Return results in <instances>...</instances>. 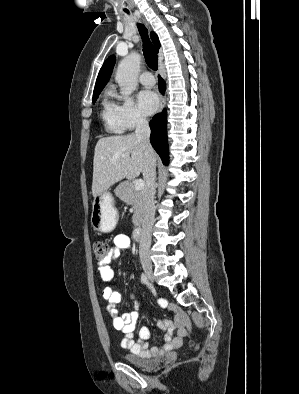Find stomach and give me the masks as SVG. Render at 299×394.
Listing matches in <instances>:
<instances>
[{
	"label": "stomach",
	"mask_w": 299,
	"mask_h": 394,
	"mask_svg": "<svg viewBox=\"0 0 299 394\" xmlns=\"http://www.w3.org/2000/svg\"><path fill=\"white\" fill-rule=\"evenodd\" d=\"M118 222V212L114 207L112 195L104 191L94 198L91 224L96 231L111 232Z\"/></svg>",
	"instance_id": "obj_1"
}]
</instances>
